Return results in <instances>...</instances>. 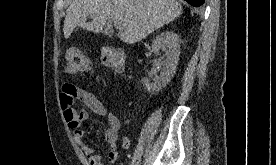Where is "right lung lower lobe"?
<instances>
[{"mask_svg":"<svg viewBox=\"0 0 276 165\" xmlns=\"http://www.w3.org/2000/svg\"><path fill=\"white\" fill-rule=\"evenodd\" d=\"M185 1H187L192 6L199 7L204 3L205 0H185Z\"/></svg>","mask_w":276,"mask_h":165,"instance_id":"98d812e1","label":"right lung lower lobe"}]
</instances>
